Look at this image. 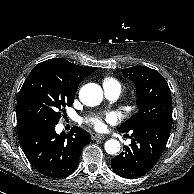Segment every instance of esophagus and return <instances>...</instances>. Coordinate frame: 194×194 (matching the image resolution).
I'll return each mask as SVG.
<instances>
[{
	"mask_svg": "<svg viewBox=\"0 0 194 194\" xmlns=\"http://www.w3.org/2000/svg\"><path fill=\"white\" fill-rule=\"evenodd\" d=\"M91 138L92 140H97V139H104V135L98 134V133H91Z\"/></svg>",
	"mask_w": 194,
	"mask_h": 194,
	"instance_id": "1",
	"label": "esophagus"
}]
</instances>
